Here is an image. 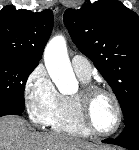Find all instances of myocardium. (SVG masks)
Wrapping results in <instances>:
<instances>
[{
	"mask_svg": "<svg viewBox=\"0 0 139 150\" xmlns=\"http://www.w3.org/2000/svg\"><path fill=\"white\" fill-rule=\"evenodd\" d=\"M99 94H105L111 98V100L115 105V109L117 113V120L115 126L111 130L106 132H102L96 129L92 123L91 116H90L91 103L93 99ZM76 100H77L80 120L84 125V127L92 135H96L100 137H109L118 132L123 122V110L119 98L113 91L97 85H85L80 90V92L76 95Z\"/></svg>",
	"mask_w": 139,
	"mask_h": 150,
	"instance_id": "f54148a6",
	"label": "myocardium"
}]
</instances>
